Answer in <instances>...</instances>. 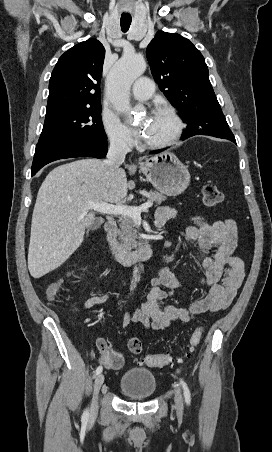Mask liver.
Here are the masks:
<instances>
[{"label": "liver", "mask_w": 272, "mask_h": 452, "mask_svg": "<svg viewBox=\"0 0 272 452\" xmlns=\"http://www.w3.org/2000/svg\"><path fill=\"white\" fill-rule=\"evenodd\" d=\"M127 195L124 169L104 160L80 159L54 168L43 181L32 215L28 269L41 278L60 267L82 244L95 220L89 202L119 203Z\"/></svg>", "instance_id": "liver-1"}]
</instances>
